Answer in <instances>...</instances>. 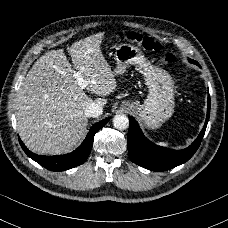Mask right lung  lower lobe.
<instances>
[{
  "instance_id": "obj_1",
  "label": "right lung lower lobe",
  "mask_w": 228,
  "mask_h": 228,
  "mask_svg": "<svg viewBox=\"0 0 228 228\" xmlns=\"http://www.w3.org/2000/svg\"><path fill=\"white\" fill-rule=\"evenodd\" d=\"M110 118H106L102 121L97 122L89 130L83 143L72 153L60 156H42L32 153L27 149L23 142L19 139V142L25 151V153L34 161L42 165L51 171H64L81 165L88 158L94 140V135L100 130Z\"/></svg>"
}]
</instances>
